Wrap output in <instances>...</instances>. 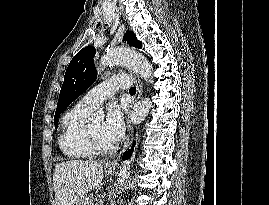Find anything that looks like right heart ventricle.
Returning <instances> with one entry per match:
<instances>
[{
    "mask_svg": "<svg viewBox=\"0 0 269 205\" xmlns=\"http://www.w3.org/2000/svg\"><path fill=\"white\" fill-rule=\"evenodd\" d=\"M90 113L77 104L62 118L58 142L61 152L70 160H84L92 156L85 138V123Z\"/></svg>",
    "mask_w": 269,
    "mask_h": 205,
    "instance_id": "obj_1",
    "label": "right heart ventricle"
}]
</instances>
